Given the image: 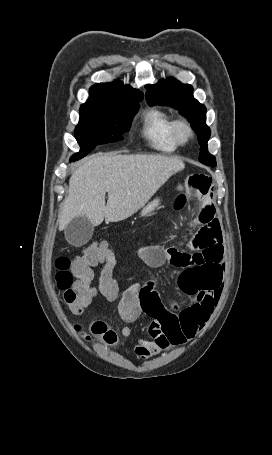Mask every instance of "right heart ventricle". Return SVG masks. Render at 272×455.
<instances>
[{"label": "right heart ventricle", "instance_id": "e07e8e85", "mask_svg": "<svg viewBox=\"0 0 272 455\" xmlns=\"http://www.w3.org/2000/svg\"><path fill=\"white\" fill-rule=\"evenodd\" d=\"M174 118L159 108H148L141 116L140 134L149 147L161 153H172L178 145L172 136Z\"/></svg>", "mask_w": 272, "mask_h": 455}]
</instances>
